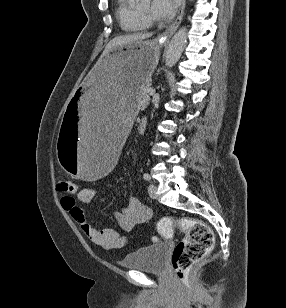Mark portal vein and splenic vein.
I'll return each mask as SVG.
<instances>
[{
	"label": "portal vein and splenic vein",
	"mask_w": 286,
	"mask_h": 308,
	"mask_svg": "<svg viewBox=\"0 0 286 308\" xmlns=\"http://www.w3.org/2000/svg\"><path fill=\"white\" fill-rule=\"evenodd\" d=\"M154 93H155V89L150 88V89H149V94H150V95H154Z\"/></svg>",
	"instance_id": "obj_1"
}]
</instances>
